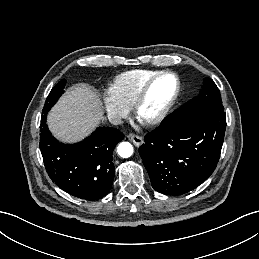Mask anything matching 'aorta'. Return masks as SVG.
I'll use <instances>...</instances> for the list:
<instances>
[{"label":"aorta","instance_id":"aorta-1","mask_svg":"<svg viewBox=\"0 0 259 259\" xmlns=\"http://www.w3.org/2000/svg\"><path fill=\"white\" fill-rule=\"evenodd\" d=\"M119 156L128 158L133 154V146L129 142H122L117 147Z\"/></svg>","mask_w":259,"mask_h":259}]
</instances>
